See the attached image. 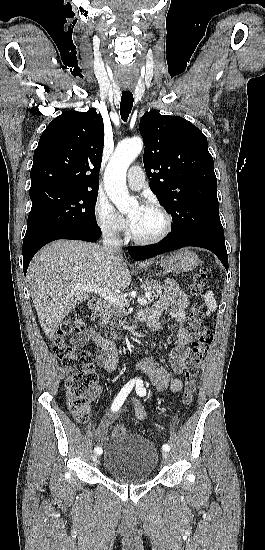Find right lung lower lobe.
<instances>
[{"label": "right lung lower lobe", "instance_id": "obj_1", "mask_svg": "<svg viewBox=\"0 0 265 550\" xmlns=\"http://www.w3.org/2000/svg\"><path fill=\"white\" fill-rule=\"evenodd\" d=\"M100 236L101 230L98 226H64L47 231L26 241H23L22 253L24 274H26L29 263L35 253L47 243L57 239L84 240L88 242H95L100 238Z\"/></svg>", "mask_w": 265, "mask_h": 550}]
</instances>
